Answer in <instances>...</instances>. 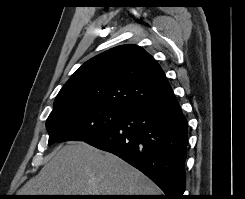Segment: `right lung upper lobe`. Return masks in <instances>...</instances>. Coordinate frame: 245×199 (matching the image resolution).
<instances>
[{
	"instance_id": "1",
	"label": "right lung upper lobe",
	"mask_w": 245,
	"mask_h": 199,
	"mask_svg": "<svg viewBox=\"0 0 245 199\" xmlns=\"http://www.w3.org/2000/svg\"><path fill=\"white\" fill-rule=\"evenodd\" d=\"M172 93L152 56L137 45H121L85 62L59 91L53 111L84 103L130 111Z\"/></svg>"
}]
</instances>
